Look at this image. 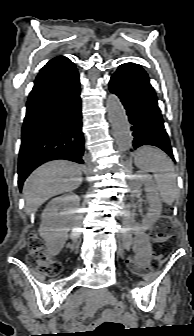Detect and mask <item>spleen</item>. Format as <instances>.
Returning a JSON list of instances; mask_svg holds the SVG:
<instances>
[{
    "mask_svg": "<svg viewBox=\"0 0 194 336\" xmlns=\"http://www.w3.org/2000/svg\"><path fill=\"white\" fill-rule=\"evenodd\" d=\"M135 165L144 172H152L163 202L171 205L178 194L176 174L171 159L160 149L140 148L134 157Z\"/></svg>",
    "mask_w": 194,
    "mask_h": 336,
    "instance_id": "1",
    "label": "spleen"
}]
</instances>
